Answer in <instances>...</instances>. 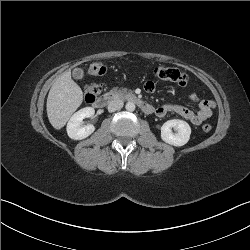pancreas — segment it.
<instances>
[{
    "label": "pancreas",
    "instance_id": "obj_1",
    "mask_svg": "<svg viewBox=\"0 0 250 250\" xmlns=\"http://www.w3.org/2000/svg\"><path fill=\"white\" fill-rule=\"evenodd\" d=\"M128 91L127 89H118V88H113L110 91V94L116 98L122 97L124 94H126Z\"/></svg>",
    "mask_w": 250,
    "mask_h": 250
}]
</instances>
